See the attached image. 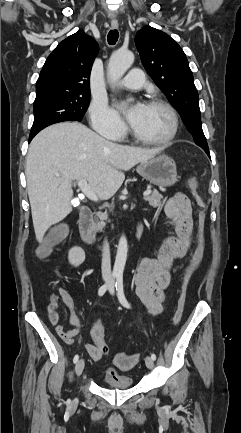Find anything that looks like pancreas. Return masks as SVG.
<instances>
[{
	"mask_svg": "<svg viewBox=\"0 0 241 433\" xmlns=\"http://www.w3.org/2000/svg\"><path fill=\"white\" fill-rule=\"evenodd\" d=\"M162 198L163 197L161 194H159L157 191H154L150 195L146 196L145 200L149 202L150 206L157 208L163 205L164 201H162ZM97 216L99 221L97 220L96 222V228L97 230L101 231L106 225L105 221L108 219V215L106 212H99Z\"/></svg>",
	"mask_w": 241,
	"mask_h": 433,
	"instance_id": "cf45deb5",
	"label": "pancreas"
}]
</instances>
